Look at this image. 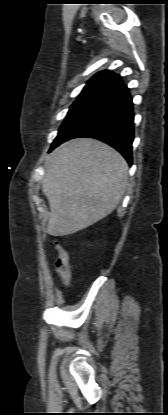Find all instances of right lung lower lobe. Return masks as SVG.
Wrapping results in <instances>:
<instances>
[{
	"instance_id": "right-lung-lower-lobe-1",
	"label": "right lung lower lobe",
	"mask_w": 168,
	"mask_h": 415,
	"mask_svg": "<svg viewBox=\"0 0 168 415\" xmlns=\"http://www.w3.org/2000/svg\"><path fill=\"white\" fill-rule=\"evenodd\" d=\"M89 137L114 147L132 165L134 139L133 102L129 89L119 81L81 108L60 128L50 151L73 138Z\"/></svg>"
}]
</instances>
